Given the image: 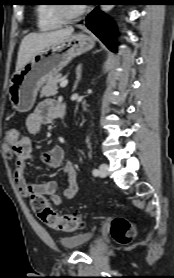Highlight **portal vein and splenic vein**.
<instances>
[{
    "label": "portal vein and splenic vein",
    "mask_w": 174,
    "mask_h": 278,
    "mask_svg": "<svg viewBox=\"0 0 174 278\" xmlns=\"http://www.w3.org/2000/svg\"><path fill=\"white\" fill-rule=\"evenodd\" d=\"M67 84H68V80H67V79H64V80H62V81L60 82V86H61L62 88H65V87L67 86Z\"/></svg>",
    "instance_id": "18ae733b"
}]
</instances>
